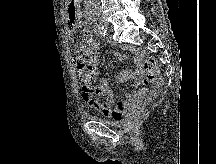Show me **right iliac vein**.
Listing matches in <instances>:
<instances>
[{"label": "right iliac vein", "instance_id": "1", "mask_svg": "<svg viewBox=\"0 0 216 164\" xmlns=\"http://www.w3.org/2000/svg\"><path fill=\"white\" fill-rule=\"evenodd\" d=\"M99 22L103 25V26H105V27H108V22H107V20L106 19H104V18H101L100 20H99Z\"/></svg>", "mask_w": 216, "mask_h": 164}]
</instances>
